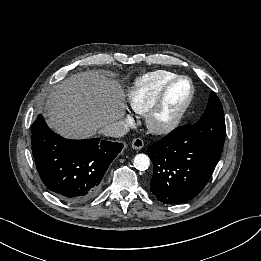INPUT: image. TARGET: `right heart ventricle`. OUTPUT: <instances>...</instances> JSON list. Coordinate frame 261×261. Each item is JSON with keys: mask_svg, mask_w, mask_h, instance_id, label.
I'll list each match as a JSON object with an SVG mask.
<instances>
[{"mask_svg": "<svg viewBox=\"0 0 261 261\" xmlns=\"http://www.w3.org/2000/svg\"><path fill=\"white\" fill-rule=\"evenodd\" d=\"M176 76L170 71L157 70L137 77L127 95L129 105L136 113L146 114L163 87Z\"/></svg>", "mask_w": 261, "mask_h": 261, "instance_id": "right-heart-ventricle-1", "label": "right heart ventricle"}]
</instances>
